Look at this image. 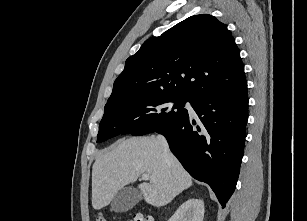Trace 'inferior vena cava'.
Returning a JSON list of instances; mask_svg holds the SVG:
<instances>
[{"label": "inferior vena cava", "mask_w": 307, "mask_h": 221, "mask_svg": "<svg viewBox=\"0 0 307 221\" xmlns=\"http://www.w3.org/2000/svg\"><path fill=\"white\" fill-rule=\"evenodd\" d=\"M158 139L161 140L166 147H168L167 141L163 136H158Z\"/></svg>", "instance_id": "602c4592"}]
</instances>
